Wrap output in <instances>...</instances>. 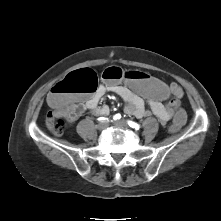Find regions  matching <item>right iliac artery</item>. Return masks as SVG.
I'll return each instance as SVG.
<instances>
[{
  "instance_id": "1",
  "label": "right iliac artery",
  "mask_w": 221,
  "mask_h": 221,
  "mask_svg": "<svg viewBox=\"0 0 221 221\" xmlns=\"http://www.w3.org/2000/svg\"><path fill=\"white\" fill-rule=\"evenodd\" d=\"M121 118V115L120 114H116L114 117H113V119L114 120H118V119H120ZM99 120H105V118H103V117H101V118H99Z\"/></svg>"
}]
</instances>
